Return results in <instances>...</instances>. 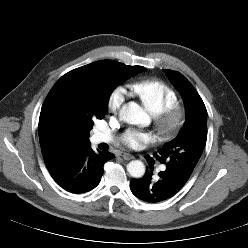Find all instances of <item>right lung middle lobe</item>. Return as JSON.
<instances>
[{"label": "right lung middle lobe", "instance_id": "obj_1", "mask_svg": "<svg viewBox=\"0 0 248 248\" xmlns=\"http://www.w3.org/2000/svg\"><path fill=\"white\" fill-rule=\"evenodd\" d=\"M145 70L142 66H127L113 60L93 62L63 75L43 105L56 117L77 124L89 137L94 120L105 116L114 88Z\"/></svg>", "mask_w": 248, "mask_h": 248}]
</instances>
